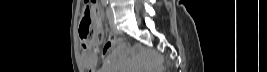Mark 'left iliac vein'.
<instances>
[{"label": "left iliac vein", "mask_w": 267, "mask_h": 72, "mask_svg": "<svg viewBox=\"0 0 267 72\" xmlns=\"http://www.w3.org/2000/svg\"><path fill=\"white\" fill-rule=\"evenodd\" d=\"M108 20H109V23H110V26L112 28V30L115 32V33H121L115 26L114 24V16H113V12H112V9L111 8H108Z\"/></svg>", "instance_id": "left-iliac-vein-1"}]
</instances>
